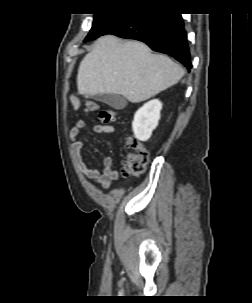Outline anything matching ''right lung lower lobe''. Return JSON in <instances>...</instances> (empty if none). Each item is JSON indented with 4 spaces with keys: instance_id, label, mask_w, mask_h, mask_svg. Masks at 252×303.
<instances>
[{
    "instance_id": "98d812e1",
    "label": "right lung lower lobe",
    "mask_w": 252,
    "mask_h": 303,
    "mask_svg": "<svg viewBox=\"0 0 252 303\" xmlns=\"http://www.w3.org/2000/svg\"><path fill=\"white\" fill-rule=\"evenodd\" d=\"M146 43L152 50L171 55L192 68L187 35L180 14L131 10L121 14L103 33Z\"/></svg>"
}]
</instances>
